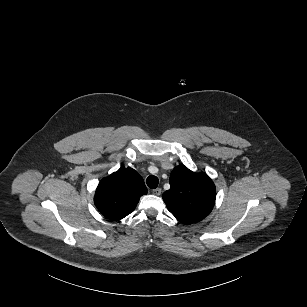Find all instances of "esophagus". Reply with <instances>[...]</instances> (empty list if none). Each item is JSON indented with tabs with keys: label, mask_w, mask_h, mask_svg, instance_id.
I'll use <instances>...</instances> for the list:
<instances>
[{
	"label": "esophagus",
	"mask_w": 307,
	"mask_h": 307,
	"mask_svg": "<svg viewBox=\"0 0 307 307\" xmlns=\"http://www.w3.org/2000/svg\"><path fill=\"white\" fill-rule=\"evenodd\" d=\"M152 194L155 196H159L161 194V188H156L152 191Z\"/></svg>",
	"instance_id": "1"
}]
</instances>
